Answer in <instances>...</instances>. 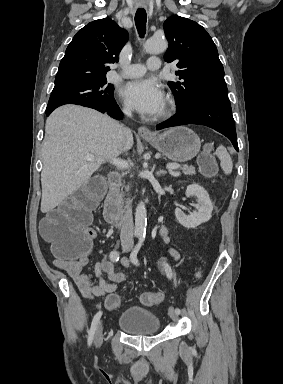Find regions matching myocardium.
<instances>
[{"label":"myocardium","mask_w":283,"mask_h":384,"mask_svg":"<svg viewBox=\"0 0 283 384\" xmlns=\"http://www.w3.org/2000/svg\"><path fill=\"white\" fill-rule=\"evenodd\" d=\"M167 111H168L167 108L164 107V108L159 112L158 117H163L164 115L167 114Z\"/></svg>","instance_id":"f54148a6"}]
</instances>
